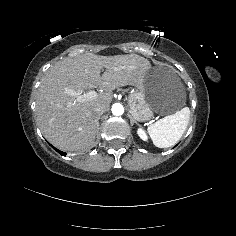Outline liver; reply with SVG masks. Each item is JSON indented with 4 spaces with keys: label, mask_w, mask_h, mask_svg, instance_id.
<instances>
[{
    "label": "liver",
    "mask_w": 236,
    "mask_h": 236,
    "mask_svg": "<svg viewBox=\"0 0 236 236\" xmlns=\"http://www.w3.org/2000/svg\"><path fill=\"white\" fill-rule=\"evenodd\" d=\"M105 71L101 74V71ZM151 63L137 54L100 56L84 53L51 66L41 79L36 99V122L44 137L62 151H85L94 145L97 119L94 108L109 110L112 91L142 83ZM99 88V94L84 102L66 92L82 93Z\"/></svg>",
    "instance_id": "liver-1"
}]
</instances>
